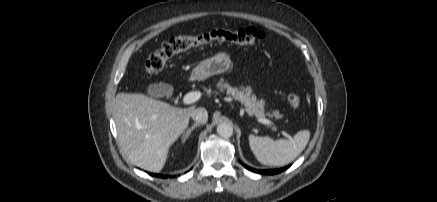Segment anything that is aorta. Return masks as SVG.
<instances>
[{
	"mask_svg": "<svg viewBox=\"0 0 437 202\" xmlns=\"http://www.w3.org/2000/svg\"><path fill=\"white\" fill-rule=\"evenodd\" d=\"M217 133L223 138H229L233 135V127L229 123H221L217 126Z\"/></svg>",
	"mask_w": 437,
	"mask_h": 202,
	"instance_id": "obj_1",
	"label": "aorta"
}]
</instances>
